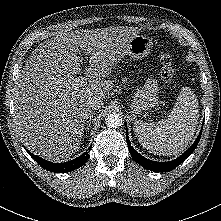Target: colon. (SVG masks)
<instances>
[{
	"label": "colon",
	"instance_id": "obj_1",
	"mask_svg": "<svg viewBox=\"0 0 221 221\" xmlns=\"http://www.w3.org/2000/svg\"><path fill=\"white\" fill-rule=\"evenodd\" d=\"M175 75V68L169 56L161 58L160 76L164 83H169Z\"/></svg>",
	"mask_w": 221,
	"mask_h": 221
}]
</instances>
